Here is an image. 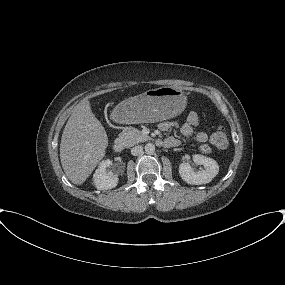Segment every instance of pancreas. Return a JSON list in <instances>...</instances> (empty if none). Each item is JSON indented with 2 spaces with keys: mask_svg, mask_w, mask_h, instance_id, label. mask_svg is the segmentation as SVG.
<instances>
[{
  "mask_svg": "<svg viewBox=\"0 0 285 285\" xmlns=\"http://www.w3.org/2000/svg\"><path fill=\"white\" fill-rule=\"evenodd\" d=\"M119 138L124 142L125 146L130 147L140 142L147 141L148 136L134 127H126L119 135Z\"/></svg>",
  "mask_w": 285,
  "mask_h": 285,
  "instance_id": "obj_1",
  "label": "pancreas"
}]
</instances>
